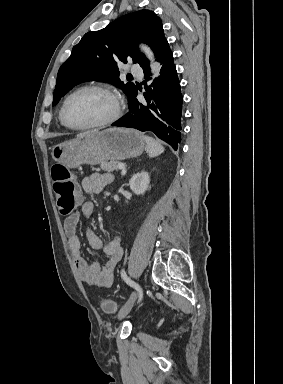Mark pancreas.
Segmentation results:
<instances>
[{
	"instance_id": "1",
	"label": "pancreas",
	"mask_w": 283,
	"mask_h": 384,
	"mask_svg": "<svg viewBox=\"0 0 283 384\" xmlns=\"http://www.w3.org/2000/svg\"><path fill=\"white\" fill-rule=\"evenodd\" d=\"M118 164H121V162H103L100 168L104 172H114V170H118Z\"/></svg>"
}]
</instances>
